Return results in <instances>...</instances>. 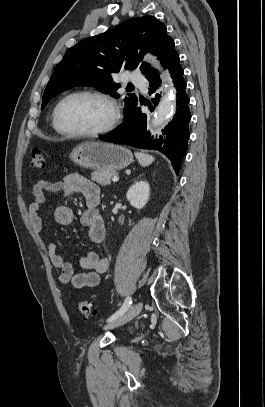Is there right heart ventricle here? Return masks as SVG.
Returning a JSON list of instances; mask_svg holds the SVG:
<instances>
[{"label": "right heart ventricle", "instance_id": "e07e8e85", "mask_svg": "<svg viewBox=\"0 0 265 407\" xmlns=\"http://www.w3.org/2000/svg\"><path fill=\"white\" fill-rule=\"evenodd\" d=\"M52 126H53V128L55 129V127H54V123H52Z\"/></svg>", "mask_w": 265, "mask_h": 407}]
</instances>
